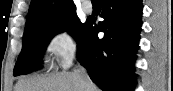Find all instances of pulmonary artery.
<instances>
[{
	"mask_svg": "<svg viewBox=\"0 0 173 91\" xmlns=\"http://www.w3.org/2000/svg\"><path fill=\"white\" fill-rule=\"evenodd\" d=\"M83 10L86 13H91L92 12V5L88 3L87 1L83 3Z\"/></svg>",
	"mask_w": 173,
	"mask_h": 91,
	"instance_id": "pulmonary-artery-1",
	"label": "pulmonary artery"
}]
</instances>
